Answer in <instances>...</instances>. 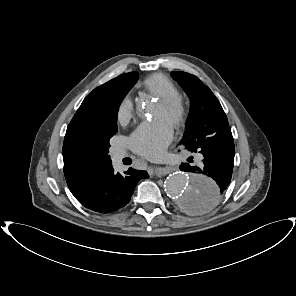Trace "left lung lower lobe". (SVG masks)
<instances>
[{"instance_id": "0a47b994", "label": "left lung lower lobe", "mask_w": 296, "mask_h": 296, "mask_svg": "<svg viewBox=\"0 0 296 296\" xmlns=\"http://www.w3.org/2000/svg\"><path fill=\"white\" fill-rule=\"evenodd\" d=\"M202 155L204 157L203 166L197 167L183 164L180 169L194 173V177L205 176L212 178L217 183V189L200 199H193L192 204L187 208L191 212H201L210 208L221 198L229 186L235 155L230 127L220 130L211 137Z\"/></svg>"}]
</instances>
